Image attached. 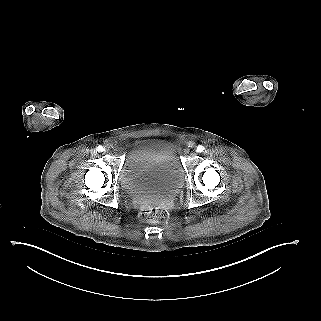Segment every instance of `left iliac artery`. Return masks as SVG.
<instances>
[{"instance_id": "left-iliac-artery-1", "label": "left iliac artery", "mask_w": 321, "mask_h": 321, "mask_svg": "<svg viewBox=\"0 0 321 321\" xmlns=\"http://www.w3.org/2000/svg\"><path fill=\"white\" fill-rule=\"evenodd\" d=\"M203 150H204V146L199 145V146L197 147V152H203Z\"/></svg>"}]
</instances>
